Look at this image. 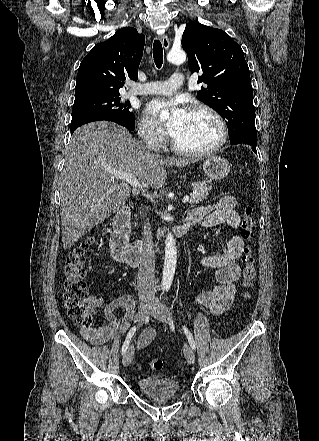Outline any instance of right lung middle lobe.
Segmentation results:
<instances>
[{
	"label": "right lung middle lobe",
	"mask_w": 319,
	"mask_h": 441,
	"mask_svg": "<svg viewBox=\"0 0 319 441\" xmlns=\"http://www.w3.org/2000/svg\"><path fill=\"white\" fill-rule=\"evenodd\" d=\"M130 107L129 102L120 103L119 96L76 99L72 108L71 124L93 117H112L120 121L127 129L134 130V114L129 111Z\"/></svg>",
	"instance_id": "dd1d6c3e"
}]
</instances>
